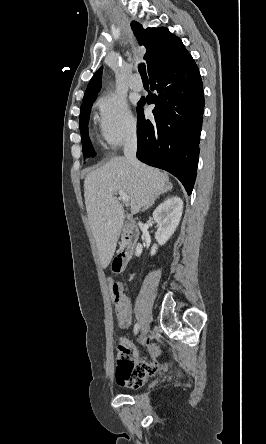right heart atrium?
<instances>
[{
    "label": "right heart atrium",
    "instance_id": "obj_1",
    "mask_svg": "<svg viewBox=\"0 0 266 444\" xmlns=\"http://www.w3.org/2000/svg\"><path fill=\"white\" fill-rule=\"evenodd\" d=\"M96 106L100 134L107 146L119 148L135 135L136 121L124 100L107 93L97 100Z\"/></svg>",
    "mask_w": 266,
    "mask_h": 444
}]
</instances>
